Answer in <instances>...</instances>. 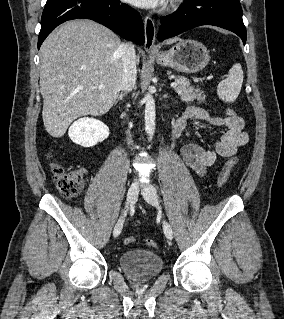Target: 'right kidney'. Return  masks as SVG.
Masks as SVG:
<instances>
[{
    "mask_svg": "<svg viewBox=\"0 0 284 319\" xmlns=\"http://www.w3.org/2000/svg\"><path fill=\"white\" fill-rule=\"evenodd\" d=\"M68 135L75 144L92 147L109 136V128L100 120L84 117L71 125Z\"/></svg>",
    "mask_w": 284,
    "mask_h": 319,
    "instance_id": "obj_1",
    "label": "right kidney"
}]
</instances>
